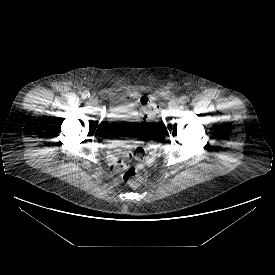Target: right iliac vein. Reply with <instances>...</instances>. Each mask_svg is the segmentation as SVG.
<instances>
[{"label":"right iliac vein","instance_id":"right-iliac-vein-1","mask_svg":"<svg viewBox=\"0 0 275 275\" xmlns=\"http://www.w3.org/2000/svg\"><path fill=\"white\" fill-rule=\"evenodd\" d=\"M89 101H90V103H92V104H96V103L98 102V99H97V97H96L95 95H91V96L89 97Z\"/></svg>","mask_w":275,"mask_h":275}]
</instances>
